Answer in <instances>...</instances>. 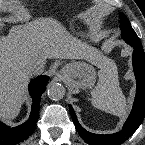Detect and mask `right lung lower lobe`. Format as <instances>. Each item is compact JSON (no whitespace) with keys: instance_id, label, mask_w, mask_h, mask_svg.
<instances>
[{"instance_id":"1","label":"right lung lower lobe","mask_w":145,"mask_h":145,"mask_svg":"<svg viewBox=\"0 0 145 145\" xmlns=\"http://www.w3.org/2000/svg\"><path fill=\"white\" fill-rule=\"evenodd\" d=\"M48 79L47 76H39L29 84V93L33 98V104L30 117L25 123L10 128L0 122V145H15L33 134L39 116L40 97L45 91Z\"/></svg>"}]
</instances>
